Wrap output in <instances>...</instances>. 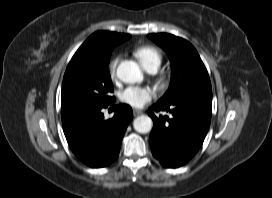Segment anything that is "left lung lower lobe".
Returning <instances> with one entry per match:
<instances>
[{
    "label": "left lung lower lobe",
    "mask_w": 272,
    "mask_h": 198,
    "mask_svg": "<svg viewBox=\"0 0 272 198\" xmlns=\"http://www.w3.org/2000/svg\"><path fill=\"white\" fill-rule=\"evenodd\" d=\"M210 102L179 100L172 103L157 102L150 107L153 120L150 133L152 153L168 168L187 163L201 147L211 120ZM166 111L168 116H155L154 112Z\"/></svg>",
    "instance_id": "left-lung-lower-lobe-1"
}]
</instances>
